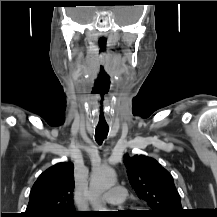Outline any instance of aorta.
<instances>
[{
	"instance_id": "aorta-1",
	"label": "aorta",
	"mask_w": 217,
	"mask_h": 217,
	"mask_svg": "<svg viewBox=\"0 0 217 217\" xmlns=\"http://www.w3.org/2000/svg\"><path fill=\"white\" fill-rule=\"evenodd\" d=\"M116 183L115 171L110 167H100L93 170L87 194L95 211H108L99 203L100 196Z\"/></svg>"
}]
</instances>
